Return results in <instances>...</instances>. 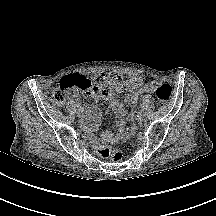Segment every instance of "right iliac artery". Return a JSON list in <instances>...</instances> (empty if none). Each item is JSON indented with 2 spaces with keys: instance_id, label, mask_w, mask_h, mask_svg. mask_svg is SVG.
<instances>
[{
  "instance_id": "82829eb1",
  "label": "right iliac artery",
  "mask_w": 216,
  "mask_h": 216,
  "mask_svg": "<svg viewBox=\"0 0 216 216\" xmlns=\"http://www.w3.org/2000/svg\"><path fill=\"white\" fill-rule=\"evenodd\" d=\"M77 111L81 114L84 112L82 108L81 109L79 108Z\"/></svg>"
}]
</instances>
